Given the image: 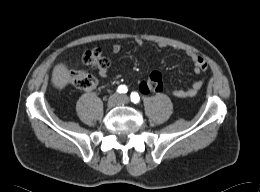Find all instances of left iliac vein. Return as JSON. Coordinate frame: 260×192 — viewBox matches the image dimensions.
Returning a JSON list of instances; mask_svg holds the SVG:
<instances>
[{"mask_svg":"<svg viewBox=\"0 0 260 192\" xmlns=\"http://www.w3.org/2000/svg\"><path fill=\"white\" fill-rule=\"evenodd\" d=\"M129 103V98L126 95L120 96V104H127Z\"/></svg>","mask_w":260,"mask_h":192,"instance_id":"obj_1","label":"left iliac vein"}]
</instances>
